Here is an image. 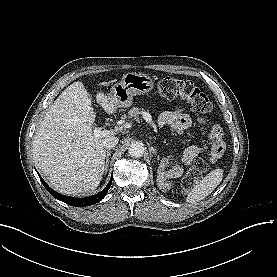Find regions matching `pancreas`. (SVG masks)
<instances>
[{
  "label": "pancreas",
  "mask_w": 277,
  "mask_h": 277,
  "mask_svg": "<svg viewBox=\"0 0 277 277\" xmlns=\"http://www.w3.org/2000/svg\"><path fill=\"white\" fill-rule=\"evenodd\" d=\"M144 112H145V110H143V109L133 107L129 110L128 115L130 118L138 119L139 115L143 114Z\"/></svg>",
  "instance_id": "pancreas-1"
}]
</instances>
